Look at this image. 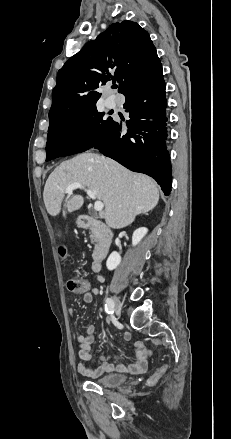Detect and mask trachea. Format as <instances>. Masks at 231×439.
Listing matches in <instances>:
<instances>
[{
    "mask_svg": "<svg viewBox=\"0 0 231 439\" xmlns=\"http://www.w3.org/2000/svg\"><path fill=\"white\" fill-rule=\"evenodd\" d=\"M113 88H114V89H116V88H117V86H116V85H114V86H113Z\"/></svg>",
    "mask_w": 231,
    "mask_h": 439,
    "instance_id": "obj_1",
    "label": "trachea"
}]
</instances>
